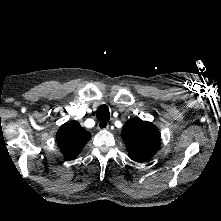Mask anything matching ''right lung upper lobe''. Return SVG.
I'll list each match as a JSON object with an SVG mask.
<instances>
[{
    "label": "right lung upper lobe",
    "mask_w": 221,
    "mask_h": 221,
    "mask_svg": "<svg viewBox=\"0 0 221 221\" xmlns=\"http://www.w3.org/2000/svg\"><path fill=\"white\" fill-rule=\"evenodd\" d=\"M91 135L77 121L63 124L56 135L57 144L66 159L75 158Z\"/></svg>",
    "instance_id": "cb5924a9"
}]
</instances>
